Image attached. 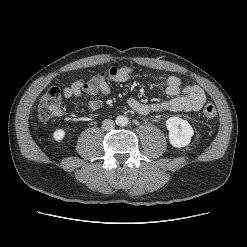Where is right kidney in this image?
I'll list each match as a JSON object with an SVG mask.
<instances>
[{
	"mask_svg": "<svg viewBox=\"0 0 247 247\" xmlns=\"http://www.w3.org/2000/svg\"><path fill=\"white\" fill-rule=\"evenodd\" d=\"M65 137V131L63 129H57L53 133V138L57 142H61Z\"/></svg>",
	"mask_w": 247,
	"mask_h": 247,
	"instance_id": "1",
	"label": "right kidney"
}]
</instances>
